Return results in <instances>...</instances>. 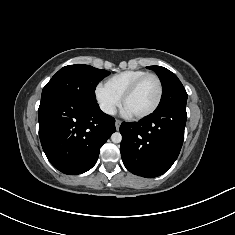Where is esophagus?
Returning <instances> with one entry per match:
<instances>
[{
	"label": "esophagus",
	"instance_id": "1",
	"mask_svg": "<svg viewBox=\"0 0 235 235\" xmlns=\"http://www.w3.org/2000/svg\"><path fill=\"white\" fill-rule=\"evenodd\" d=\"M120 125H121V121L116 119L115 121L116 130H119Z\"/></svg>",
	"mask_w": 235,
	"mask_h": 235
}]
</instances>
